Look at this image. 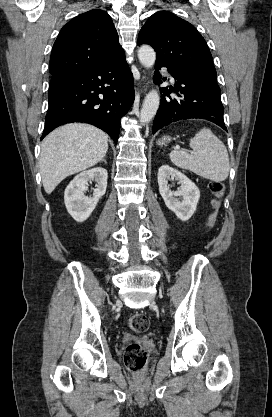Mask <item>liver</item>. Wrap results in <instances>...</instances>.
Returning <instances> with one entry per match:
<instances>
[{
	"label": "liver",
	"instance_id": "1",
	"mask_svg": "<svg viewBox=\"0 0 272 417\" xmlns=\"http://www.w3.org/2000/svg\"><path fill=\"white\" fill-rule=\"evenodd\" d=\"M108 136L88 124L72 123L52 131L41 144L40 173L47 194L66 177L84 171L106 155Z\"/></svg>",
	"mask_w": 272,
	"mask_h": 417
}]
</instances>
